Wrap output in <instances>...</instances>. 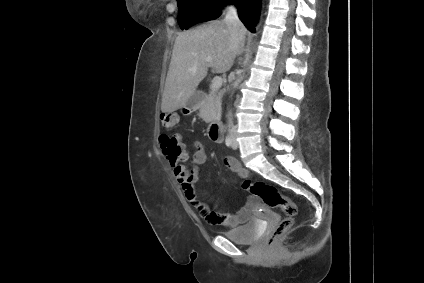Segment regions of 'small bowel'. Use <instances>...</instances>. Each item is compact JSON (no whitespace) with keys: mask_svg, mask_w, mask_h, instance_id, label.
Returning <instances> with one entry per match:
<instances>
[{"mask_svg":"<svg viewBox=\"0 0 424 283\" xmlns=\"http://www.w3.org/2000/svg\"><path fill=\"white\" fill-rule=\"evenodd\" d=\"M192 147L193 154L191 156L190 167L183 164L173 167L174 177L179 183L187 201L199 212L201 216L212 224L237 226L245 222L249 216V211L253 204L252 201L248 202V204L238 212L222 217L212 212L208 205L197 197L195 186L199 179L201 165H203L207 160V154L203 144L199 141L193 142ZM185 160H187V155L185 156ZM223 162L230 170L237 173L239 176H249V171L243 168L232 156H224Z\"/></svg>","mask_w":424,"mask_h":283,"instance_id":"1","label":"small bowel"}]
</instances>
